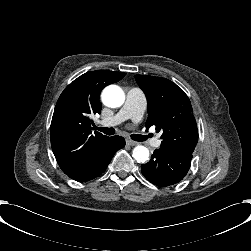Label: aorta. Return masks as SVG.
Listing matches in <instances>:
<instances>
[{
    "label": "aorta",
    "mask_w": 251,
    "mask_h": 251,
    "mask_svg": "<svg viewBox=\"0 0 251 251\" xmlns=\"http://www.w3.org/2000/svg\"><path fill=\"white\" fill-rule=\"evenodd\" d=\"M101 98L103 103L109 107H120L125 101L123 90L117 85H109L102 91ZM133 158L138 163H145L149 160V150L142 145H138L133 149Z\"/></svg>",
    "instance_id": "aorta-1"
}]
</instances>
